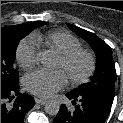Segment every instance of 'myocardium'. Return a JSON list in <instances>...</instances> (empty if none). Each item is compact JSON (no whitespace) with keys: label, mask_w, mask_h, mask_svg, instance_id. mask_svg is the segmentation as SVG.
Here are the masks:
<instances>
[{"label":"myocardium","mask_w":123,"mask_h":123,"mask_svg":"<svg viewBox=\"0 0 123 123\" xmlns=\"http://www.w3.org/2000/svg\"><path fill=\"white\" fill-rule=\"evenodd\" d=\"M84 58L87 66L84 72L78 75H69L68 78L71 83L79 85L87 82L94 74L96 70V57L90 50L84 48H77L66 53L59 54V59L64 65L71 64L77 58Z\"/></svg>","instance_id":"1"}]
</instances>
